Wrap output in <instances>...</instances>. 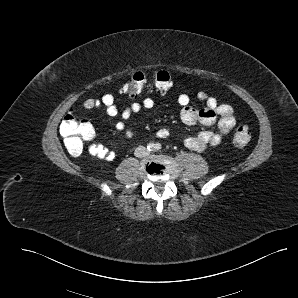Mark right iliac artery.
Returning a JSON list of instances; mask_svg holds the SVG:
<instances>
[{
	"label": "right iliac artery",
	"mask_w": 298,
	"mask_h": 298,
	"mask_svg": "<svg viewBox=\"0 0 298 298\" xmlns=\"http://www.w3.org/2000/svg\"><path fill=\"white\" fill-rule=\"evenodd\" d=\"M147 149H148L149 151H153V150L155 149V145H154L153 143H149V144L147 145Z\"/></svg>",
	"instance_id": "82829eb1"
}]
</instances>
